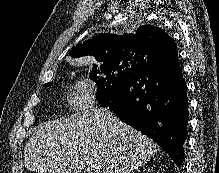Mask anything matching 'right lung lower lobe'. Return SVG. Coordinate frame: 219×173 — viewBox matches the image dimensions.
<instances>
[{
    "label": "right lung lower lobe",
    "instance_id": "right-lung-lower-lobe-1",
    "mask_svg": "<svg viewBox=\"0 0 219 173\" xmlns=\"http://www.w3.org/2000/svg\"><path fill=\"white\" fill-rule=\"evenodd\" d=\"M123 122L152 138L180 168L187 136L188 98L178 58L140 64L104 106Z\"/></svg>",
    "mask_w": 219,
    "mask_h": 173
}]
</instances>
